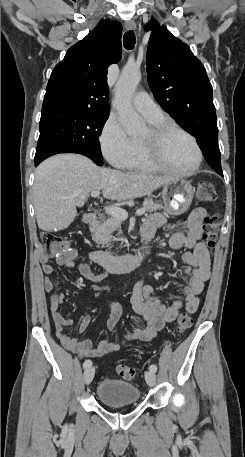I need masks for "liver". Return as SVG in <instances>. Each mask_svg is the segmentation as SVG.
<instances>
[{
    "mask_svg": "<svg viewBox=\"0 0 245 457\" xmlns=\"http://www.w3.org/2000/svg\"><path fill=\"white\" fill-rule=\"evenodd\" d=\"M170 180L172 176L97 166L82 154H55L35 170L33 196L39 229H67L76 216V206H83L92 190H102L111 200H123L151 194Z\"/></svg>",
    "mask_w": 245,
    "mask_h": 457,
    "instance_id": "liver-1",
    "label": "liver"
}]
</instances>
